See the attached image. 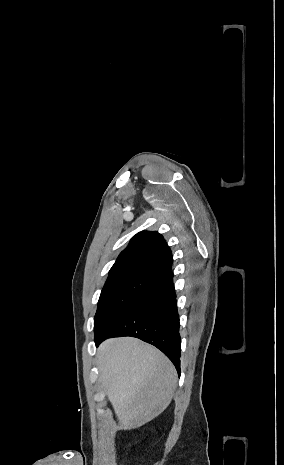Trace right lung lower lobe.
<instances>
[{
	"instance_id": "right-lung-lower-lobe-1",
	"label": "right lung lower lobe",
	"mask_w": 284,
	"mask_h": 465,
	"mask_svg": "<svg viewBox=\"0 0 284 465\" xmlns=\"http://www.w3.org/2000/svg\"><path fill=\"white\" fill-rule=\"evenodd\" d=\"M170 271L157 279L129 308L123 311L102 333L96 346L110 337L132 336L161 350L180 375L181 337L179 315Z\"/></svg>"
}]
</instances>
